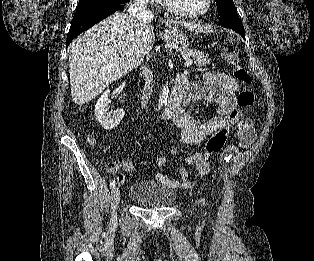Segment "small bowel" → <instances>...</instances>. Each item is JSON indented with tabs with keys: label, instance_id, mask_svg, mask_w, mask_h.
Listing matches in <instances>:
<instances>
[{
	"label": "small bowel",
	"instance_id": "obj_1",
	"mask_svg": "<svg viewBox=\"0 0 314 261\" xmlns=\"http://www.w3.org/2000/svg\"><path fill=\"white\" fill-rule=\"evenodd\" d=\"M183 76L186 87L194 95L191 100L215 102L218 104V113L202 124H199L193 116L184 111H180L172 119L173 124L180 129L181 142L184 145L175 147L170 152L178 166L181 181L170 178L163 173H157L155 176L157 181L170 188L191 186L189 173L182 164V160L187 165L196 166L202 175H208L211 171V165L201 162L200 155L185 146L203 143L209 135L227 124L237 127L240 143L243 147L250 146L255 139V131L250 119L242 116L236 119L231 118V113L237 106V93L240 89L234 78L224 73L212 72L195 76L192 79ZM155 165L158 168H164L167 165V159L158 157L155 160ZM120 170L131 173L134 170L133 160L120 158L107 165V171L110 174L118 173ZM117 180L120 185H124L126 183L125 174L118 173Z\"/></svg>",
	"mask_w": 314,
	"mask_h": 261
}]
</instances>
